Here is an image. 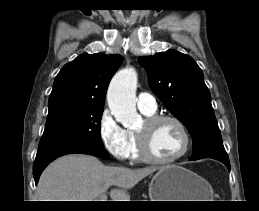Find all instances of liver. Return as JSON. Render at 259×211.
Listing matches in <instances>:
<instances>
[{
    "instance_id": "obj_1",
    "label": "liver",
    "mask_w": 259,
    "mask_h": 211,
    "mask_svg": "<svg viewBox=\"0 0 259 211\" xmlns=\"http://www.w3.org/2000/svg\"><path fill=\"white\" fill-rule=\"evenodd\" d=\"M160 168L129 169L105 166L89 155H66L52 162L40 176L38 201H98L110 186L112 201H130L128 190Z\"/></svg>"
}]
</instances>
